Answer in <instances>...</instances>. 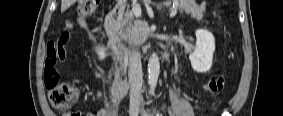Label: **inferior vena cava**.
I'll use <instances>...</instances> for the list:
<instances>
[{
  "label": "inferior vena cava",
  "mask_w": 283,
  "mask_h": 116,
  "mask_svg": "<svg viewBox=\"0 0 283 116\" xmlns=\"http://www.w3.org/2000/svg\"><path fill=\"white\" fill-rule=\"evenodd\" d=\"M128 76L131 84L130 101L132 103H140L142 101L140 88L143 83V74L139 51L133 50L131 52Z\"/></svg>",
  "instance_id": "602c4592"
}]
</instances>
